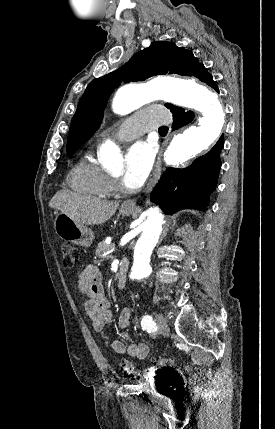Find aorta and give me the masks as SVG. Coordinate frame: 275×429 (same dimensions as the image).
<instances>
[{"label": "aorta", "mask_w": 275, "mask_h": 429, "mask_svg": "<svg viewBox=\"0 0 275 429\" xmlns=\"http://www.w3.org/2000/svg\"><path fill=\"white\" fill-rule=\"evenodd\" d=\"M161 99L199 111L198 125L190 126L174 135L164 154L168 165H178L206 150L219 136L226 118V110L217 92L195 79L158 78L147 84L121 87L112 101V110L127 115L151 101ZM100 159L110 171L121 168L119 150L106 141L99 151ZM163 215L158 207L148 210L147 219L134 249L132 274L136 279L150 275V258L162 231Z\"/></svg>", "instance_id": "1"}]
</instances>
